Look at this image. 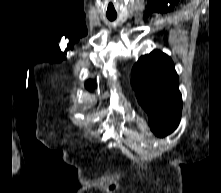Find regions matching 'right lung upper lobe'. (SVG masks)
Wrapping results in <instances>:
<instances>
[{"label": "right lung upper lobe", "instance_id": "obj_1", "mask_svg": "<svg viewBox=\"0 0 221 193\" xmlns=\"http://www.w3.org/2000/svg\"><path fill=\"white\" fill-rule=\"evenodd\" d=\"M93 86H94V84H93V81H92V80H89V81L86 82V87H87L88 89H92Z\"/></svg>", "mask_w": 221, "mask_h": 193}]
</instances>
